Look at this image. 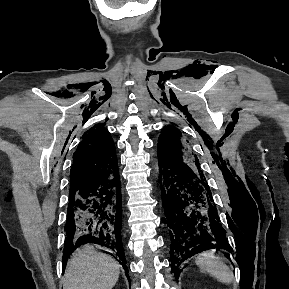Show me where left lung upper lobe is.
<instances>
[{
  "mask_svg": "<svg viewBox=\"0 0 289 289\" xmlns=\"http://www.w3.org/2000/svg\"><path fill=\"white\" fill-rule=\"evenodd\" d=\"M181 132L173 125L165 127L158 139V154L166 155L174 160L188 164L198 175L205 176L200 170V163L196 155H193L182 143Z\"/></svg>",
  "mask_w": 289,
  "mask_h": 289,
  "instance_id": "obj_1",
  "label": "left lung upper lobe"
}]
</instances>
